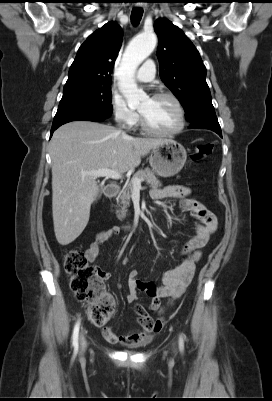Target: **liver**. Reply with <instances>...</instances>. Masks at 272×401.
<instances>
[{
  "mask_svg": "<svg viewBox=\"0 0 272 401\" xmlns=\"http://www.w3.org/2000/svg\"><path fill=\"white\" fill-rule=\"evenodd\" d=\"M163 142L165 139L134 138L110 125L90 121L59 127L51 140L52 214L58 243L68 245L83 232L99 193L96 178L82 176L83 171L134 170L141 157Z\"/></svg>",
  "mask_w": 272,
  "mask_h": 401,
  "instance_id": "6515ba94",
  "label": "liver"
}]
</instances>
